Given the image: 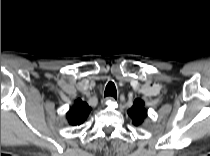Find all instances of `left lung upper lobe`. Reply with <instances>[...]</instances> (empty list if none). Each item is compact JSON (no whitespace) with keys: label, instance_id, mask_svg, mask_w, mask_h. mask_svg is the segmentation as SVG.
Masks as SVG:
<instances>
[{"label":"left lung upper lobe","instance_id":"1","mask_svg":"<svg viewBox=\"0 0 210 156\" xmlns=\"http://www.w3.org/2000/svg\"><path fill=\"white\" fill-rule=\"evenodd\" d=\"M128 115L131 117L134 125H141L147 117L144 102L141 99H136L133 106L128 110Z\"/></svg>","mask_w":210,"mask_h":156}]
</instances>
